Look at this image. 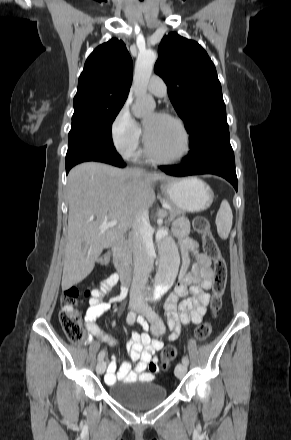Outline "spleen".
<instances>
[{"label": "spleen", "mask_w": 291, "mask_h": 440, "mask_svg": "<svg viewBox=\"0 0 291 440\" xmlns=\"http://www.w3.org/2000/svg\"><path fill=\"white\" fill-rule=\"evenodd\" d=\"M233 214L229 202L223 200L216 216L217 232L221 239H227L232 228Z\"/></svg>", "instance_id": "obj_1"}]
</instances>
